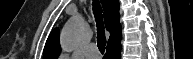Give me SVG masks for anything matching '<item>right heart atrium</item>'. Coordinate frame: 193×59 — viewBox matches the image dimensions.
<instances>
[{
	"label": "right heart atrium",
	"instance_id": "1",
	"mask_svg": "<svg viewBox=\"0 0 193 59\" xmlns=\"http://www.w3.org/2000/svg\"><path fill=\"white\" fill-rule=\"evenodd\" d=\"M60 59H71L70 56L66 53L60 55Z\"/></svg>",
	"mask_w": 193,
	"mask_h": 59
}]
</instances>
